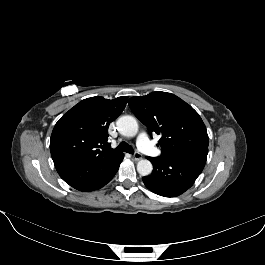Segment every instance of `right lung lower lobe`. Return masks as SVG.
<instances>
[{"label":"right lung lower lobe","mask_w":265,"mask_h":265,"mask_svg":"<svg viewBox=\"0 0 265 265\" xmlns=\"http://www.w3.org/2000/svg\"><path fill=\"white\" fill-rule=\"evenodd\" d=\"M124 155L104 160H89L56 167L60 177L79 191H93L106 185L116 174Z\"/></svg>","instance_id":"obj_1"}]
</instances>
